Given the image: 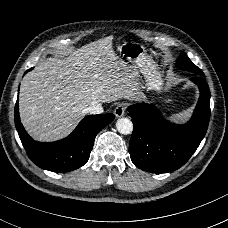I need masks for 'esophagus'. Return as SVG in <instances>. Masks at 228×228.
<instances>
[{
  "label": "esophagus",
  "instance_id": "1",
  "mask_svg": "<svg viewBox=\"0 0 228 228\" xmlns=\"http://www.w3.org/2000/svg\"><path fill=\"white\" fill-rule=\"evenodd\" d=\"M125 110H126L125 104H120L115 108L114 114L117 118L122 117L125 113Z\"/></svg>",
  "mask_w": 228,
  "mask_h": 228
}]
</instances>
